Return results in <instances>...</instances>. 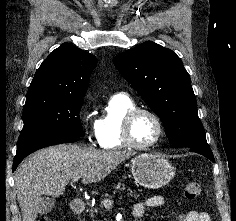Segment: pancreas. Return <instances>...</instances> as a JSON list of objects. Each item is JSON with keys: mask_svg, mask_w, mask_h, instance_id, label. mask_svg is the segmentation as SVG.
<instances>
[{"mask_svg": "<svg viewBox=\"0 0 236 221\" xmlns=\"http://www.w3.org/2000/svg\"><path fill=\"white\" fill-rule=\"evenodd\" d=\"M125 190V187H123L121 189V191ZM130 193H133L131 189H127ZM115 193V192H114ZM134 196H137L139 197L138 194H134ZM105 197L106 198H111V196L109 194H105ZM102 208H103V203H101V205L99 206H95L93 207L91 210H90V217L92 218V221H100L98 220V214L102 215L103 212H102Z\"/></svg>", "mask_w": 236, "mask_h": 221, "instance_id": "cf45deb5", "label": "pancreas"}]
</instances>
